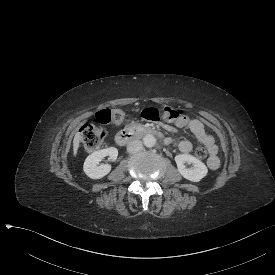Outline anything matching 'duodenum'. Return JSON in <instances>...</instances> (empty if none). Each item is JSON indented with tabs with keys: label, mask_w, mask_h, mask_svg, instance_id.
<instances>
[{
	"label": "duodenum",
	"mask_w": 275,
	"mask_h": 275,
	"mask_svg": "<svg viewBox=\"0 0 275 275\" xmlns=\"http://www.w3.org/2000/svg\"><path fill=\"white\" fill-rule=\"evenodd\" d=\"M148 135L157 136V137L162 136V134L154 128L137 127V128L125 129L118 132L115 136V141L118 145L125 146L143 136H148Z\"/></svg>",
	"instance_id": "obj_1"
}]
</instances>
